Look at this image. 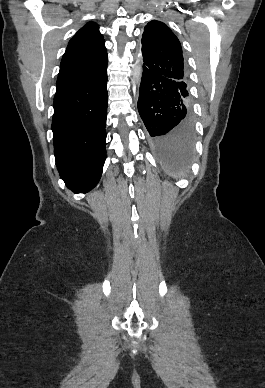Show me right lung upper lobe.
<instances>
[{
	"instance_id": "1",
	"label": "right lung upper lobe",
	"mask_w": 265,
	"mask_h": 388,
	"mask_svg": "<svg viewBox=\"0 0 265 388\" xmlns=\"http://www.w3.org/2000/svg\"><path fill=\"white\" fill-rule=\"evenodd\" d=\"M108 54L97 24L88 22L69 41L57 78V90L92 81L107 72Z\"/></svg>"
}]
</instances>
